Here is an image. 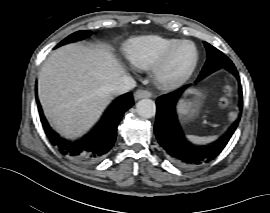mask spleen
Wrapping results in <instances>:
<instances>
[{
    "label": "spleen",
    "instance_id": "spleen-1",
    "mask_svg": "<svg viewBox=\"0 0 270 213\" xmlns=\"http://www.w3.org/2000/svg\"><path fill=\"white\" fill-rule=\"evenodd\" d=\"M187 138L196 144H207L214 141L217 137L216 136L199 137V136H194V135H188Z\"/></svg>",
    "mask_w": 270,
    "mask_h": 213
}]
</instances>
